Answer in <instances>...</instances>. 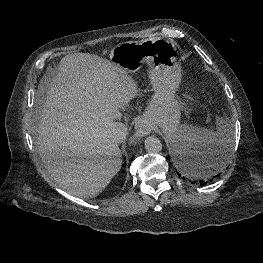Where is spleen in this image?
I'll return each instance as SVG.
<instances>
[{"label": "spleen", "instance_id": "3e777b00", "mask_svg": "<svg viewBox=\"0 0 263 263\" xmlns=\"http://www.w3.org/2000/svg\"><path fill=\"white\" fill-rule=\"evenodd\" d=\"M174 149L185 150L187 152H195L209 144H217L223 146V155L220 163L215 166L216 172L222 171L229 159L234 144V130L229 121L219 119L216 123V131L208 129H199L191 125H181L177 132L170 139Z\"/></svg>", "mask_w": 263, "mask_h": 263}]
</instances>
